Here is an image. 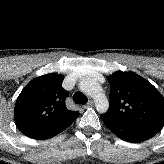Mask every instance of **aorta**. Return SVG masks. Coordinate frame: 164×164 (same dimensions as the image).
I'll list each match as a JSON object with an SVG mask.
<instances>
[{
    "label": "aorta",
    "mask_w": 164,
    "mask_h": 164,
    "mask_svg": "<svg viewBox=\"0 0 164 164\" xmlns=\"http://www.w3.org/2000/svg\"><path fill=\"white\" fill-rule=\"evenodd\" d=\"M80 90L95 100V106L99 113H105L109 108L108 99L100 86L93 78H85L79 83Z\"/></svg>",
    "instance_id": "1"
}]
</instances>
